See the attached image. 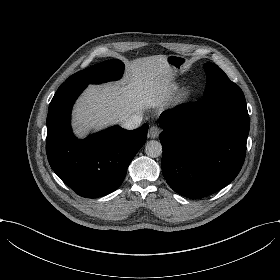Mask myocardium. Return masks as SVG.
<instances>
[{
  "instance_id": "obj_1",
  "label": "myocardium",
  "mask_w": 280,
  "mask_h": 280,
  "mask_svg": "<svg viewBox=\"0 0 280 280\" xmlns=\"http://www.w3.org/2000/svg\"><path fill=\"white\" fill-rule=\"evenodd\" d=\"M197 94V86L190 82L185 85L180 96V103L189 102Z\"/></svg>"
}]
</instances>
